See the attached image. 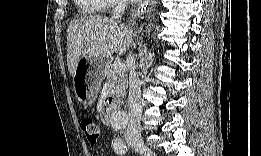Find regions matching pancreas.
Here are the masks:
<instances>
[{
  "label": "pancreas",
  "mask_w": 261,
  "mask_h": 156,
  "mask_svg": "<svg viewBox=\"0 0 261 156\" xmlns=\"http://www.w3.org/2000/svg\"><path fill=\"white\" fill-rule=\"evenodd\" d=\"M115 64L116 62H108L103 69L102 76L109 81L111 93L124 97L128 87L127 74L125 71L117 72L114 68Z\"/></svg>",
  "instance_id": "cf45deb5"
}]
</instances>
